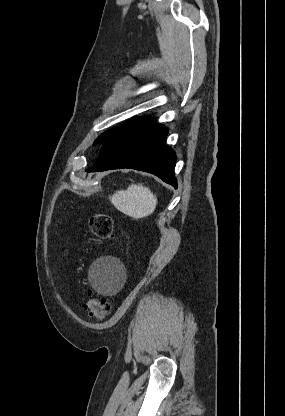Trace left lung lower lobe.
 <instances>
[{"label":"left lung lower lobe","instance_id":"obj_1","mask_svg":"<svg viewBox=\"0 0 285 416\" xmlns=\"http://www.w3.org/2000/svg\"><path fill=\"white\" fill-rule=\"evenodd\" d=\"M167 129L148 120L132 121L104 143L99 158L87 172L133 168L153 173L177 187L175 152L165 145Z\"/></svg>","mask_w":285,"mask_h":416}]
</instances>
